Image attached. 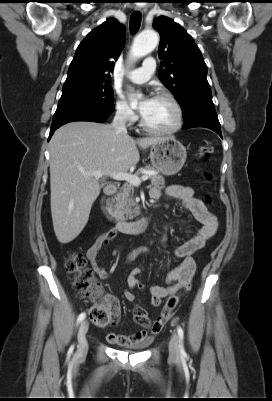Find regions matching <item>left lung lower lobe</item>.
<instances>
[{"label": "left lung lower lobe", "instance_id": "obj_1", "mask_svg": "<svg viewBox=\"0 0 272 401\" xmlns=\"http://www.w3.org/2000/svg\"><path fill=\"white\" fill-rule=\"evenodd\" d=\"M184 119V129L206 127L215 131L222 138L221 127L215 110H200L190 114Z\"/></svg>", "mask_w": 272, "mask_h": 401}]
</instances>
